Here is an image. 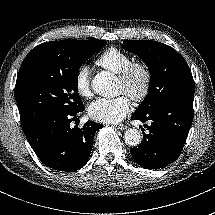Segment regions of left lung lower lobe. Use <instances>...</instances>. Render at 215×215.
I'll list each match as a JSON object with an SVG mask.
<instances>
[{
  "instance_id": "0a47b994",
  "label": "left lung lower lobe",
  "mask_w": 215,
  "mask_h": 215,
  "mask_svg": "<svg viewBox=\"0 0 215 215\" xmlns=\"http://www.w3.org/2000/svg\"><path fill=\"white\" fill-rule=\"evenodd\" d=\"M193 97L185 96L161 103L132 120L150 121L149 133L138 147L130 150L134 160L145 169H159L175 161L185 144L194 117Z\"/></svg>"
}]
</instances>
